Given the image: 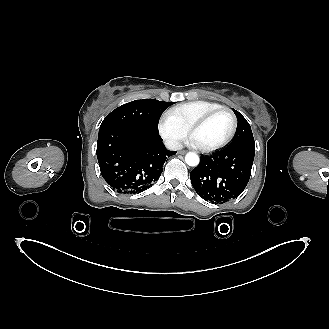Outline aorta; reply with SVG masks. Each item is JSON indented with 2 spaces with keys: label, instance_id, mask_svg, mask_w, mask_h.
<instances>
[{
  "label": "aorta",
  "instance_id": "762f6f07",
  "mask_svg": "<svg viewBox=\"0 0 329 329\" xmlns=\"http://www.w3.org/2000/svg\"><path fill=\"white\" fill-rule=\"evenodd\" d=\"M199 156L194 152H189L185 156V162L187 165L196 167L199 164Z\"/></svg>",
  "mask_w": 329,
  "mask_h": 329
}]
</instances>
